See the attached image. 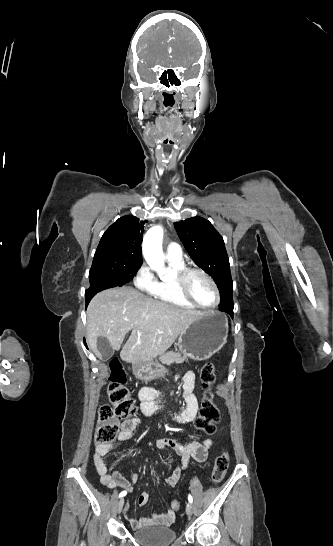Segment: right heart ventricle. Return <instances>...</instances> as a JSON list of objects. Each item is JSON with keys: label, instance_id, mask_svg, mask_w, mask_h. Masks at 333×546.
I'll use <instances>...</instances> for the list:
<instances>
[{"label": "right heart ventricle", "instance_id": "1", "mask_svg": "<svg viewBox=\"0 0 333 546\" xmlns=\"http://www.w3.org/2000/svg\"><path fill=\"white\" fill-rule=\"evenodd\" d=\"M172 275L158 282V290L155 294L156 299L161 303L170 304L184 309H195L196 307L187 302L180 295L177 284V274L185 268L184 261L168 260Z\"/></svg>", "mask_w": 333, "mask_h": 546}]
</instances>
